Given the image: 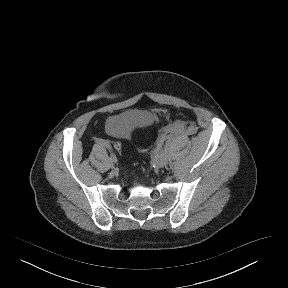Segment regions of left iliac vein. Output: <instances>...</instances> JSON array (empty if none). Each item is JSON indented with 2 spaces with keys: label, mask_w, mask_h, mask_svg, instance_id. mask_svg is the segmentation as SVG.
Segmentation results:
<instances>
[{
  "label": "left iliac vein",
  "mask_w": 288,
  "mask_h": 288,
  "mask_svg": "<svg viewBox=\"0 0 288 288\" xmlns=\"http://www.w3.org/2000/svg\"><path fill=\"white\" fill-rule=\"evenodd\" d=\"M155 164L158 167H164L167 164V158L164 155L163 156H159L158 158H156Z\"/></svg>",
  "instance_id": "1"
}]
</instances>
